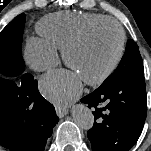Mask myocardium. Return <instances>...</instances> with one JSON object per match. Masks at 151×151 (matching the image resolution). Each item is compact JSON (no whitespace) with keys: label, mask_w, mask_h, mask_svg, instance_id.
Masks as SVG:
<instances>
[{"label":"myocardium","mask_w":151,"mask_h":151,"mask_svg":"<svg viewBox=\"0 0 151 151\" xmlns=\"http://www.w3.org/2000/svg\"><path fill=\"white\" fill-rule=\"evenodd\" d=\"M104 24H112L117 29V32L119 35L118 50L112 63L101 74L85 81L86 84L92 85V86L99 85L105 82L115 72L120 62L122 61V58L125 52L126 34L121 23L111 17H106V18L97 20L89 24L87 27H85L80 33H78L75 37L69 40L62 48V57H63L64 63L70 67V61H69L70 52L74 48L81 45L93 30H95L96 28Z\"/></svg>","instance_id":"1"}]
</instances>
